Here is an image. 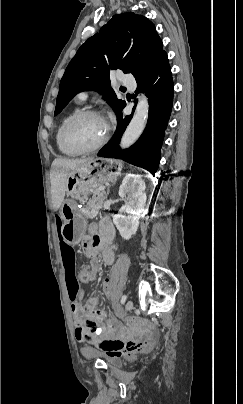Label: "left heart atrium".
Wrapping results in <instances>:
<instances>
[{
    "label": "left heart atrium",
    "mask_w": 243,
    "mask_h": 404,
    "mask_svg": "<svg viewBox=\"0 0 243 404\" xmlns=\"http://www.w3.org/2000/svg\"><path fill=\"white\" fill-rule=\"evenodd\" d=\"M102 123L105 133L110 129V123L112 121V115L109 114L107 117H102Z\"/></svg>",
    "instance_id": "39dd6f15"
}]
</instances>
